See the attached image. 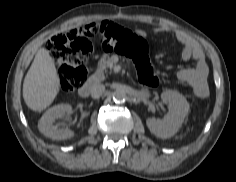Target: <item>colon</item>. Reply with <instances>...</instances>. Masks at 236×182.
<instances>
[{
    "instance_id": "obj_1",
    "label": "colon",
    "mask_w": 236,
    "mask_h": 182,
    "mask_svg": "<svg viewBox=\"0 0 236 182\" xmlns=\"http://www.w3.org/2000/svg\"><path fill=\"white\" fill-rule=\"evenodd\" d=\"M103 37L104 46L130 58L137 72L139 82L146 87L159 83L144 38L113 22L86 25L67 34L50 38L46 48L59 67V84L62 91L71 93L82 85L87 77V62L92 52L89 38Z\"/></svg>"
}]
</instances>
